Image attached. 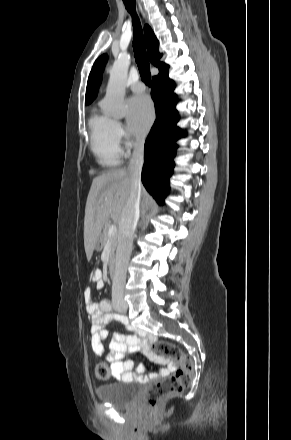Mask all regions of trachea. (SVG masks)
Returning a JSON list of instances; mask_svg holds the SVG:
<instances>
[{"label":"trachea","mask_w":291,"mask_h":440,"mask_svg":"<svg viewBox=\"0 0 291 440\" xmlns=\"http://www.w3.org/2000/svg\"><path fill=\"white\" fill-rule=\"evenodd\" d=\"M123 2L128 12L132 15L133 28H134L133 50H134L135 60L138 65L142 80L145 82L146 85L150 86L151 73H150L149 62L147 59V54L143 39L142 27L139 18L137 17L135 12V1L123 0Z\"/></svg>","instance_id":"3493384b"}]
</instances>
